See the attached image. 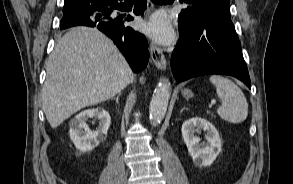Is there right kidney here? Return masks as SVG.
I'll return each mask as SVG.
<instances>
[{"label": "right kidney", "instance_id": "1", "mask_svg": "<svg viewBox=\"0 0 293 184\" xmlns=\"http://www.w3.org/2000/svg\"><path fill=\"white\" fill-rule=\"evenodd\" d=\"M89 118L99 120V126L96 131H91L88 127L86 121ZM110 123L111 117L109 113L102 108L88 109L76 115L69 123V135L77 149L76 155L80 156L83 153L92 151L101 141H104Z\"/></svg>", "mask_w": 293, "mask_h": 184}]
</instances>
